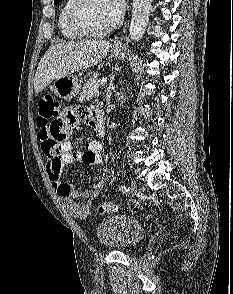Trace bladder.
<instances>
[{
	"label": "bladder",
	"instance_id": "31cf9c89",
	"mask_svg": "<svg viewBox=\"0 0 233 294\" xmlns=\"http://www.w3.org/2000/svg\"><path fill=\"white\" fill-rule=\"evenodd\" d=\"M99 243L108 249L128 251L136 248L145 236L144 226L126 214L110 216L97 226Z\"/></svg>",
	"mask_w": 233,
	"mask_h": 294
}]
</instances>
